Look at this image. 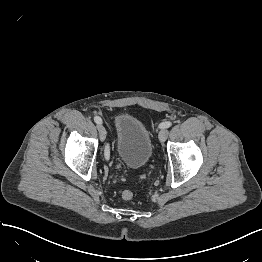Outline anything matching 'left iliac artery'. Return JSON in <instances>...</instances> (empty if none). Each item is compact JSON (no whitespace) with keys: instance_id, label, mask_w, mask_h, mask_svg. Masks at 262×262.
I'll list each match as a JSON object with an SVG mask.
<instances>
[{"instance_id":"1","label":"left iliac artery","mask_w":262,"mask_h":262,"mask_svg":"<svg viewBox=\"0 0 262 262\" xmlns=\"http://www.w3.org/2000/svg\"><path fill=\"white\" fill-rule=\"evenodd\" d=\"M171 125H172L171 122L166 121V122H162L159 126H160V128H168Z\"/></svg>"}]
</instances>
